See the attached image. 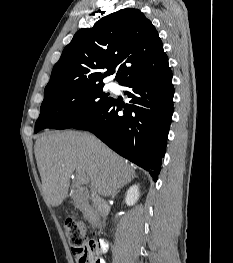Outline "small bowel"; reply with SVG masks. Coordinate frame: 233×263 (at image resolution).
Segmentation results:
<instances>
[{"instance_id":"small-bowel-1","label":"small bowel","mask_w":233,"mask_h":263,"mask_svg":"<svg viewBox=\"0 0 233 263\" xmlns=\"http://www.w3.org/2000/svg\"><path fill=\"white\" fill-rule=\"evenodd\" d=\"M100 250L102 255H105L109 249V244L105 240H100ZM99 263H106L103 257L100 258Z\"/></svg>"}]
</instances>
